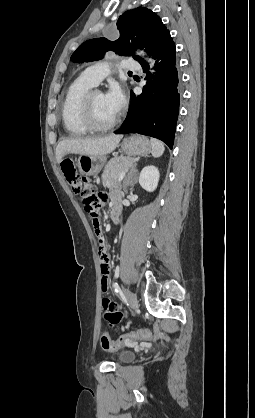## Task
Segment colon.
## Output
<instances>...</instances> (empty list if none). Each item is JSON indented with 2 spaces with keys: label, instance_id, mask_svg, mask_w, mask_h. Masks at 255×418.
Masks as SVG:
<instances>
[{
  "label": "colon",
  "instance_id": "colon-1",
  "mask_svg": "<svg viewBox=\"0 0 255 418\" xmlns=\"http://www.w3.org/2000/svg\"><path fill=\"white\" fill-rule=\"evenodd\" d=\"M62 171L73 192L81 197L85 211L97 235H101L98 210L105 198L104 195L101 193L96 194L94 187L89 181L77 173L71 160L66 159L62 162ZM150 338H152V333L149 330H138L124 334L116 340H112L107 333H103L100 342L105 351H116L134 343L136 340Z\"/></svg>",
  "mask_w": 255,
  "mask_h": 418
}]
</instances>
